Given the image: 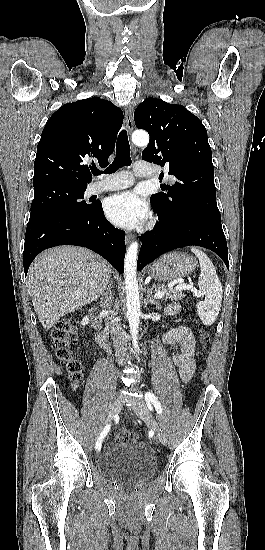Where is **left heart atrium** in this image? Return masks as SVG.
<instances>
[{
    "label": "left heart atrium",
    "mask_w": 265,
    "mask_h": 550,
    "mask_svg": "<svg viewBox=\"0 0 265 550\" xmlns=\"http://www.w3.org/2000/svg\"><path fill=\"white\" fill-rule=\"evenodd\" d=\"M108 219L117 226L136 228L147 219L146 202L134 191H126L110 197L105 205Z\"/></svg>",
    "instance_id": "39dd6f15"
}]
</instances>
